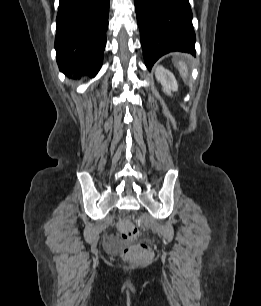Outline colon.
Here are the masks:
<instances>
[{
	"label": "colon",
	"instance_id": "5ec220e1",
	"mask_svg": "<svg viewBox=\"0 0 261 306\" xmlns=\"http://www.w3.org/2000/svg\"><path fill=\"white\" fill-rule=\"evenodd\" d=\"M119 232L125 240H133L137 236V229L129 220H123L119 224ZM152 256L151 249L142 244H133L125 247L122 252L123 259L131 265L146 264Z\"/></svg>",
	"mask_w": 261,
	"mask_h": 306
}]
</instances>
